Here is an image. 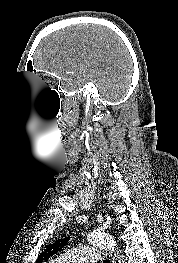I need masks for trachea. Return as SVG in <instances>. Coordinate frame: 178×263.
<instances>
[{
    "label": "trachea",
    "mask_w": 178,
    "mask_h": 263,
    "mask_svg": "<svg viewBox=\"0 0 178 263\" xmlns=\"http://www.w3.org/2000/svg\"><path fill=\"white\" fill-rule=\"evenodd\" d=\"M104 263H110V260L109 259H105Z\"/></svg>",
    "instance_id": "3493384b"
}]
</instances>
